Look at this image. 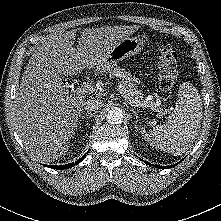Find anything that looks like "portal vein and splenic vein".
<instances>
[{
    "label": "portal vein and splenic vein",
    "instance_id": "portal-vein-and-splenic-vein-1",
    "mask_svg": "<svg viewBox=\"0 0 221 221\" xmlns=\"http://www.w3.org/2000/svg\"><path fill=\"white\" fill-rule=\"evenodd\" d=\"M95 87H93V85H88V84H83L79 87H77L76 91L78 94H91L93 92H95ZM119 91L124 94L125 96L126 95V90L125 88L120 84L119 85ZM131 104H133V106H136V107H147V108H151L152 109V103L150 102H137V101H132L131 100ZM155 106H158V104H155ZM153 111H156L155 109H152Z\"/></svg>",
    "mask_w": 221,
    "mask_h": 221
}]
</instances>
